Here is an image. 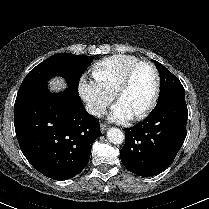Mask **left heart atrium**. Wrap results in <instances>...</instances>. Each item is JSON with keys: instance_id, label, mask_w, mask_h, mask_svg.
I'll list each match as a JSON object with an SVG mask.
<instances>
[{"instance_id": "1", "label": "left heart atrium", "mask_w": 209, "mask_h": 209, "mask_svg": "<svg viewBox=\"0 0 209 209\" xmlns=\"http://www.w3.org/2000/svg\"><path fill=\"white\" fill-rule=\"evenodd\" d=\"M133 114L127 110L122 104L117 103L109 115V119L114 122L124 123L133 118Z\"/></svg>"}]
</instances>
